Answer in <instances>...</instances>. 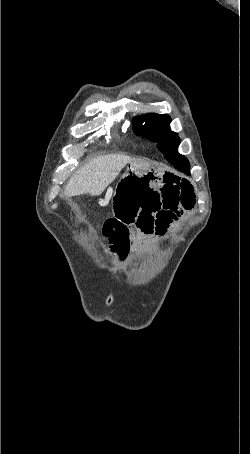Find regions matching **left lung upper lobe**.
<instances>
[{
  "label": "left lung upper lobe",
  "mask_w": 250,
  "mask_h": 454,
  "mask_svg": "<svg viewBox=\"0 0 250 454\" xmlns=\"http://www.w3.org/2000/svg\"><path fill=\"white\" fill-rule=\"evenodd\" d=\"M171 119L166 114L150 113L133 119V131L157 142L158 149L168 160L177 157L179 137L177 133L170 130Z\"/></svg>",
  "instance_id": "5c2ea615"
}]
</instances>
